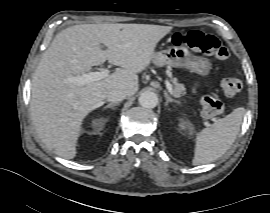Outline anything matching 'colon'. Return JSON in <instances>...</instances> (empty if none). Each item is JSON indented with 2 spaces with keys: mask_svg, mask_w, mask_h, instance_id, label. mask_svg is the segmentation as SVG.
<instances>
[{
  "mask_svg": "<svg viewBox=\"0 0 270 213\" xmlns=\"http://www.w3.org/2000/svg\"><path fill=\"white\" fill-rule=\"evenodd\" d=\"M173 41L177 45L186 44L192 51L203 53L220 61L229 57L227 47L217 37L200 31H190L185 35L178 33L174 36ZM221 87L227 96L234 97L239 93L241 83L236 76H227L221 80ZM201 105L202 114L205 117H214L220 114L224 108L223 102L212 95L204 96Z\"/></svg>",
  "mask_w": 270,
  "mask_h": 213,
  "instance_id": "5ec220e1",
  "label": "colon"
}]
</instances>
